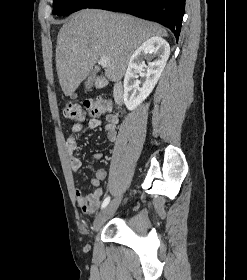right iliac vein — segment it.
I'll return each instance as SVG.
<instances>
[{
    "label": "right iliac vein",
    "mask_w": 247,
    "mask_h": 280,
    "mask_svg": "<svg viewBox=\"0 0 247 280\" xmlns=\"http://www.w3.org/2000/svg\"><path fill=\"white\" fill-rule=\"evenodd\" d=\"M121 197H116L105 209L99 213L94 221V230H98L109 216H111L118 208Z\"/></svg>",
    "instance_id": "right-iliac-vein-1"
}]
</instances>
